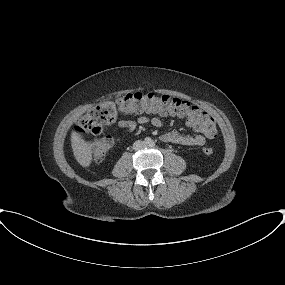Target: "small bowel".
Returning <instances> with one entry per match:
<instances>
[{
  "instance_id": "c3829d8e",
  "label": "small bowel",
  "mask_w": 285,
  "mask_h": 285,
  "mask_svg": "<svg viewBox=\"0 0 285 285\" xmlns=\"http://www.w3.org/2000/svg\"><path fill=\"white\" fill-rule=\"evenodd\" d=\"M148 123L155 127H160L163 122L161 118L156 116L149 117L146 115H140L138 116L136 121L120 120L118 122V126L122 128L125 132L130 133L137 127V125L148 124ZM186 123L189 127L197 130L188 120ZM206 139H214V138H211L205 135L204 133L185 134L178 131H171L161 136V140L164 142L182 145V146H188V147L202 146L205 144Z\"/></svg>"
}]
</instances>
